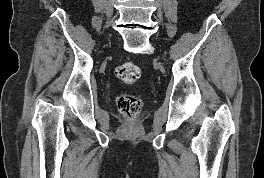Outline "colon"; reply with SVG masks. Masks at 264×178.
<instances>
[{"label": "colon", "instance_id": "5ec220e1", "mask_svg": "<svg viewBox=\"0 0 264 178\" xmlns=\"http://www.w3.org/2000/svg\"><path fill=\"white\" fill-rule=\"evenodd\" d=\"M141 75L140 67L133 61H126L115 69V76L125 84H134ZM119 111L126 117L135 118L141 109V102L135 96L123 94L117 98Z\"/></svg>", "mask_w": 264, "mask_h": 178}]
</instances>
